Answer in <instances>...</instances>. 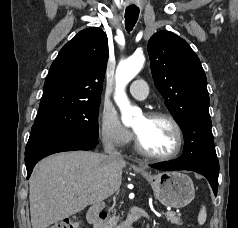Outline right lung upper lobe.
Returning <instances> with one entry per match:
<instances>
[{"label": "right lung upper lobe", "mask_w": 238, "mask_h": 228, "mask_svg": "<svg viewBox=\"0 0 238 228\" xmlns=\"http://www.w3.org/2000/svg\"><path fill=\"white\" fill-rule=\"evenodd\" d=\"M107 60V35L96 27L80 31L52 63L37 116L100 101Z\"/></svg>", "instance_id": "obj_1"}]
</instances>
